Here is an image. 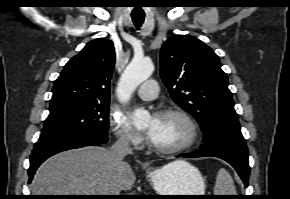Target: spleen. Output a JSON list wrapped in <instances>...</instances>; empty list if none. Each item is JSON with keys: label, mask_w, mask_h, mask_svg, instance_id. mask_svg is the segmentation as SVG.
<instances>
[{"label": "spleen", "mask_w": 290, "mask_h": 199, "mask_svg": "<svg viewBox=\"0 0 290 199\" xmlns=\"http://www.w3.org/2000/svg\"><path fill=\"white\" fill-rule=\"evenodd\" d=\"M214 195H236L233 179L224 168L218 171L214 186Z\"/></svg>", "instance_id": "obj_1"}]
</instances>
